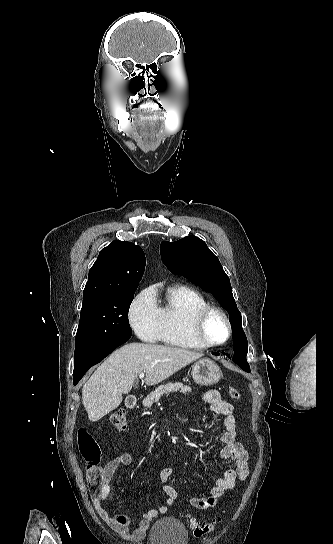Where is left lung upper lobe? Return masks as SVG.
<instances>
[{"mask_svg":"<svg viewBox=\"0 0 333 544\" xmlns=\"http://www.w3.org/2000/svg\"><path fill=\"white\" fill-rule=\"evenodd\" d=\"M160 251L163 263L172 273L183 275L203 290L211 292L229 312L233 332L238 336L234 339L232 361L240 367L249 368L246 360L248 345L242 330L241 313L236 306L229 277L219 259L196 236L172 243L163 241Z\"/></svg>","mask_w":333,"mask_h":544,"instance_id":"obj_1","label":"left lung upper lobe"}]
</instances>
